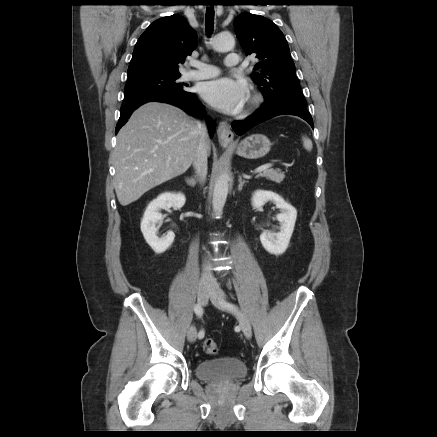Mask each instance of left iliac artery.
Wrapping results in <instances>:
<instances>
[{
	"mask_svg": "<svg viewBox=\"0 0 437 437\" xmlns=\"http://www.w3.org/2000/svg\"><path fill=\"white\" fill-rule=\"evenodd\" d=\"M225 306L229 309H233V305L229 304V303H225Z\"/></svg>",
	"mask_w": 437,
	"mask_h": 437,
	"instance_id": "obj_1",
	"label": "left iliac artery"
}]
</instances>
